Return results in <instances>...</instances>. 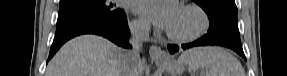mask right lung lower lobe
<instances>
[{
  "label": "right lung lower lobe",
  "mask_w": 287,
  "mask_h": 76,
  "mask_svg": "<svg viewBox=\"0 0 287 76\" xmlns=\"http://www.w3.org/2000/svg\"><path fill=\"white\" fill-rule=\"evenodd\" d=\"M81 34L101 35L105 38H108L119 46L125 48L130 47L128 43L129 29L127 25L126 15L124 14L120 19L111 23L99 25H84L56 35L50 49L48 61L67 40Z\"/></svg>",
  "instance_id": "98d812e1"
}]
</instances>
